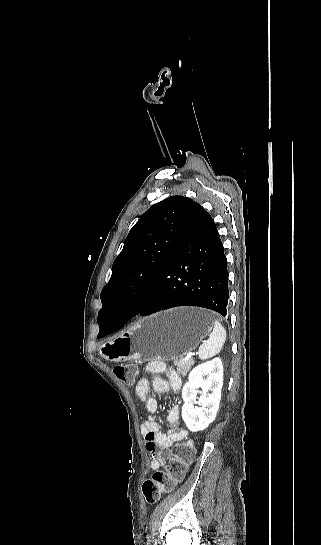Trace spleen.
<instances>
[{"label": "spleen", "mask_w": 321, "mask_h": 545, "mask_svg": "<svg viewBox=\"0 0 321 545\" xmlns=\"http://www.w3.org/2000/svg\"><path fill=\"white\" fill-rule=\"evenodd\" d=\"M226 331L222 327L219 321H214L213 331L209 335L208 341H205L203 345H200L198 355L199 359H211L220 353L225 341H226Z\"/></svg>", "instance_id": "obj_1"}]
</instances>
